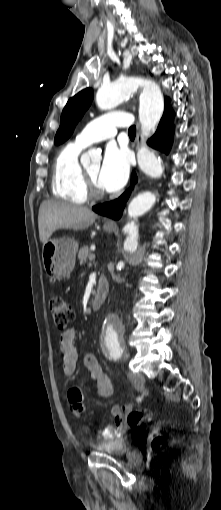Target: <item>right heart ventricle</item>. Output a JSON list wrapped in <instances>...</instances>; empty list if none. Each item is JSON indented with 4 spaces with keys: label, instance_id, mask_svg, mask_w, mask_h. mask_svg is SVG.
<instances>
[{
    "label": "right heart ventricle",
    "instance_id": "1",
    "mask_svg": "<svg viewBox=\"0 0 221 510\" xmlns=\"http://www.w3.org/2000/svg\"><path fill=\"white\" fill-rule=\"evenodd\" d=\"M84 146L76 141L66 144L58 153L52 176L54 196L75 204H84L87 196L84 187L83 168L79 155Z\"/></svg>",
    "mask_w": 221,
    "mask_h": 510
}]
</instances>
